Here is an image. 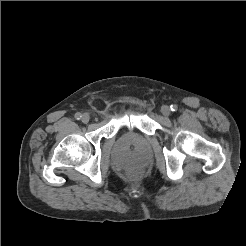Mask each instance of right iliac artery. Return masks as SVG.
Returning a JSON list of instances; mask_svg holds the SVG:
<instances>
[{"instance_id": "obj_1", "label": "right iliac artery", "mask_w": 246, "mask_h": 246, "mask_svg": "<svg viewBox=\"0 0 246 246\" xmlns=\"http://www.w3.org/2000/svg\"><path fill=\"white\" fill-rule=\"evenodd\" d=\"M75 118H76L77 120H80V119L82 118V114H81V113H76V114H75Z\"/></svg>"}]
</instances>
